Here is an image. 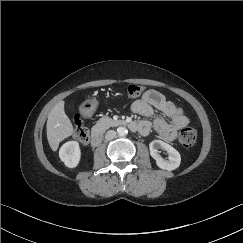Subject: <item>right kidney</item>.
<instances>
[{
	"mask_svg": "<svg viewBox=\"0 0 243 243\" xmlns=\"http://www.w3.org/2000/svg\"><path fill=\"white\" fill-rule=\"evenodd\" d=\"M59 157L66 167H77L81 159L79 143L76 141H69L63 144L59 150Z\"/></svg>",
	"mask_w": 243,
	"mask_h": 243,
	"instance_id": "1",
	"label": "right kidney"
}]
</instances>
